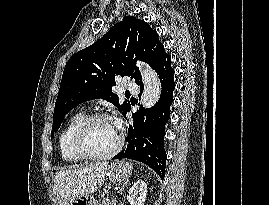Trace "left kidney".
<instances>
[{"instance_id": "5707ae66", "label": "left kidney", "mask_w": 269, "mask_h": 205, "mask_svg": "<svg viewBox=\"0 0 269 205\" xmlns=\"http://www.w3.org/2000/svg\"><path fill=\"white\" fill-rule=\"evenodd\" d=\"M146 197L147 184L143 180H138L129 189L127 200L130 205H144Z\"/></svg>"}]
</instances>
